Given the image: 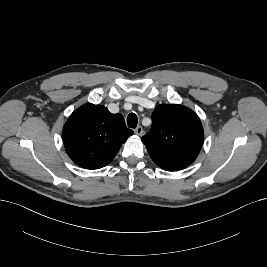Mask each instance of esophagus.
Masks as SVG:
<instances>
[{
	"label": "esophagus",
	"mask_w": 267,
	"mask_h": 267,
	"mask_svg": "<svg viewBox=\"0 0 267 267\" xmlns=\"http://www.w3.org/2000/svg\"><path fill=\"white\" fill-rule=\"evenodd\" d=\"M135 134L138 136H142L143 135V128L141 126H138L135 130H134Z\"/></svg>",
	"instance_id": "1"
}]
</instances>
